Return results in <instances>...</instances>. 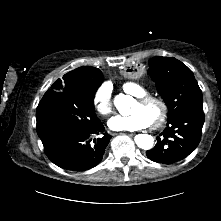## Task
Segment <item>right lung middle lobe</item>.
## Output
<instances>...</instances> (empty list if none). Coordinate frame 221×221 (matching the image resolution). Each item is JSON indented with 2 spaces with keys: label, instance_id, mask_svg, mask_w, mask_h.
I'll return each instance as SVG.
<instances>
[{
  "label": "right lung middle lobe",
  "instance_id": "1",
  "mask_svg": "<svg viewBox=\"0 0 221 221\" xmlns=\"http://www.w3.org/2000/svg\"><path fill=\"white\" fill-rule=\"evenodd\" d=\"M91 79L67 90L52 85L53 90L44 94L36 111L37 133L44 148L100 121L94 112V95L103 76Z\"/></svg>",
  "mask_w": 221,
  "mask_h": 221
}]
</instances>
